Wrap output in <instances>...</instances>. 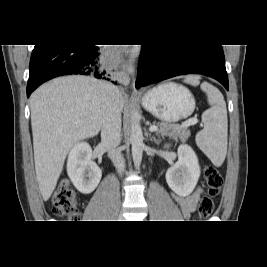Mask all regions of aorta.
<instances>
[{"mask_svg": "<svg viewBox=\"0 0 267 267\" xmlns=\"http://www.w3.org/2000/svg\"><path fill=\"white\" fill-rule=\"evenodd\" d=\"M140 53V47L138 45H134L131 50V56L128 61V70L130 73L134 72V63ZM132 118V126H131V134H130V141L132 145V157L133 162L136 168H139L142 156H143V132L141 126L139 124V114L133 110L131 112Z\"/></svg>", "mask_w": 267, "mask_h": 267, "instance_id": "obj_1", "label": "aorta"}]
</instances>
